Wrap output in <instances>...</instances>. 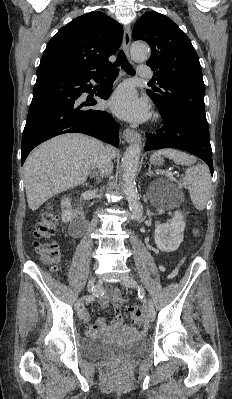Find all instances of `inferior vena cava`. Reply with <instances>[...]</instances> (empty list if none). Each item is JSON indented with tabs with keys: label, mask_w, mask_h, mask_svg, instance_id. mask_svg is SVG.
I'll return each mask as SVG.
<instances>
[{
	"label": "inferior vena cava",
	"mask_w": 232,
	"mask_h": 399,
	"mask_svg": "<svg viewBox=\"0 0 232 399\" xmlns=\"http://www.w3.org/2000/svg\"><path fill=\"white\" fill-rule=\"evenodd\" d=\"M95 168H98L100 174H103V176H110L113 170L111 154H108L106 150H102L100 160H98Z\"/></svg>",
	"instance_id": "602c4592"
}]
</instances>
